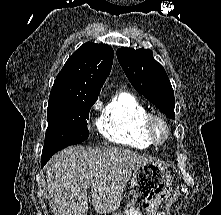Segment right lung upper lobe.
I'll list each match as a JSON object with an SVG mask.
<instances>
[{
  "instance_id": "1",
  "label": "right lung upper lobe",
  "mask_w": 221,
  "mask_h": 215,
  "mask_svg": "<svg viewBox=\"0 0 221 215\" xmlns=\"http://www.w3.org/2000/svg\"><path fill=\"white\" fill-rule=\"evenodd\" d=\"M113 49L86 42L66 61L57 75L48 104L97 100L113 63Z\"/></svg>"
}]
</instances>
